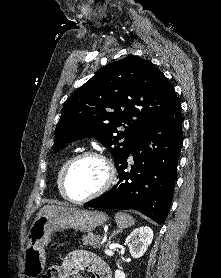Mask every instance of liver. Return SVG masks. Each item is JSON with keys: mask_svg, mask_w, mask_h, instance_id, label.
<instances>
[{"mask_svg": "<svg viewBox=\"0 0 221 278\" xmlns=\"http://www.w3.org/2000/svg\"><path fill=\"white\" fill-rule=\"evenodd\" d=\"M71 209H68L66 207L57 206V205H45L41 208L39 214L42 213H64L66 211H69Z\"/></svg>", "mask_w": 221, "mask_h": 278, "instance_id": "1", "label": "liver"}]
</instances>
